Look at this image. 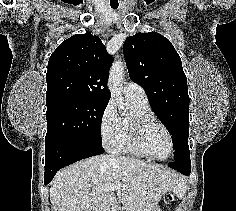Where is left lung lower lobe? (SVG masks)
<instances>
[{
    "mask_svg": "<svg viewBox=\"0 0 236 211\" xmlns=\"http://www.w3.org/2000/svg\"><path fill=\"white\" fill-rule=\"evenodd\" d=\"M169 167L178 170L182 174L189 176L191 172V162L190 161H175L168 164Z\"/></svg>",
    "mask_w": 236,
    "mask_h": 211,
    "instance_id": "obj_1",
    "label": "left lung lower lobe"
}]
</instances>
